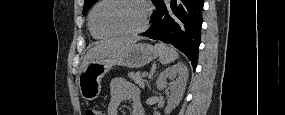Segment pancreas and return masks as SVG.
Segmentation results:
<instances>
[{
	"label": "pancreas",
	"instance_id": "cf45deb5",
	"mask_svg": "<svg viewBox=\"0 0 285 115\" xmlns=\"http://www.w3.org/2000/svg\"><path fill=\"white\" fill-rule=\"evenodd\" d=\"M128 76L141 88L145 87L146 81L143 79V75L140 72H130Z\"/></svg>",
	"mask_w": 285,
	"mask_h": 115
}]
</instances>
